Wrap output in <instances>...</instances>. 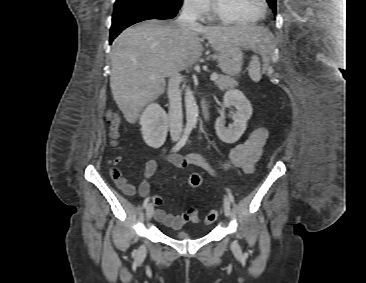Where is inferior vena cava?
I'll use <instances>...</instances> for the list:
<instances>
[{"mask_svg": "<svg viewBox=\"0 0 366 283\" xmlns=\"http://www.w3.org/2000/svg\"><path fill=\"white\" fill-rule=\"evenodd\" d=\"M197 10L194 3L186 0L183 4L180 16L176 22L181 29L187 27H194L198 25ZM181 76L176 71L170 76L168 82V97H169V126L172 136H179L183 127V115H182V103H181V91H180Z\"/></svg>", "mask_w": 366, "mask_h": 283, "instance_id": "602c4592", "label": "inferior vena cava"}]
</instances>
